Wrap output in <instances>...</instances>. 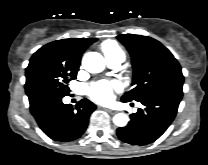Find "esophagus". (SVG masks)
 Masks as SVG:
<instances>
[{
	"instance_id": "34e87169",
	"label": "esophagus",
	"mask_w": 208,
	"mask_h": 165,
	"mask_svg": "<svg viewBox=\"0 0 208 165\" xmlns=\"http://www.w3.org/2000/svg\"><path fill=\"white\" fill-rule=\"evenodd\" d=\"M103 109H104L105 111L111 113V114H115V113H116V111H114V110H112V109H110V108L103 107Z\"/></svg>"
}]
</instances>
